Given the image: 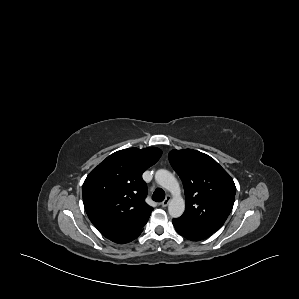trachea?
Listing matches in <instances>:
<instances>
[{
  "label": "trachea",
  "mask_w": 299,
  "mask_h": 299,
  "mask_svg": "<svg viewBox=\"0 0 299 299\" xmlns=\"http://www.w3.org/2000/svg\"><path fill=\"white\" fill-rule=\"evenodd\" d=\"M152 198L156 202H161L165 198V192L162 189H156L152 195Z\"/></svg>",
  "instance_id": "obj_1"
}]
</instances>
